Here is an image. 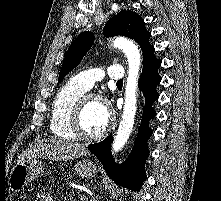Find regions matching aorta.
Listing matches in <instances>:
<instances>
[{
	"mask_svg": "<svg viewBox=\"0 0 221 201\" xmlns=\"http://www.w3.org/2000/svg\"><path fill=\"white\" fill-rule=\"evenodd\" d=\"M113 46L123 50L128 60V77L125 88L123 115L112 144V152L117 153L127 142L134 126L141 59L137 46L127 38H115Z\"/></svg>",
	"mask_w": 221,
	"mask_h": 201,
	"instance_id": "762f6f07",
	"label": "aorta"
}]
</instances>
